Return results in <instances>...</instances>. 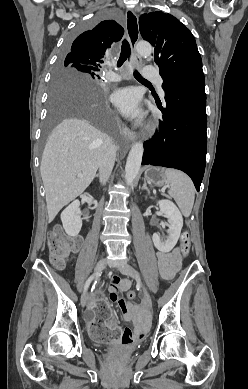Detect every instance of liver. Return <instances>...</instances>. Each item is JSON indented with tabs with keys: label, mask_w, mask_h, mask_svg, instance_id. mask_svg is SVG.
Segmentation results:
<instances>
[{
	"label": "liver",
	"mask_w": 248,
	"mask_h": 389,
	"mask_svg": "<svg viewBox=\"0 0 248 389\" xmlns=\"http://www.w3.org/2000/svg\"><path fill=\"white\" fill-rule=\"evenodd\" d=\"M111 143L105 133L83 119H66L55 127L40 165L49 222L91 184Z\"/></svg>",
	"instance_id": "liver-1"
}]
</instances>
